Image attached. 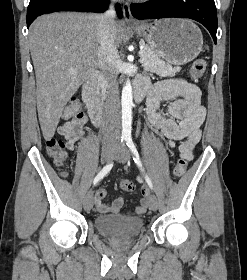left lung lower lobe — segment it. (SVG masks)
Returning a JSON list of instances; mask_svg holds the SVG:
<instances>
[{
    "label": "left lung lower lobe",
    "mask_w": 247,
    "mask_h": 280,
    "mask_svg": "<svg viewBox=\"0 0 247 280\" xmlns=\"http://www.w3.org/2000/svg\"><path fill=\"white\" fill-rule=\"evenodd\" d=\"M131 13L137 19L190 18L203 24L216 44L217 12L214 0H151L132 4Z\"/></svg>",
    "instance_id": "obj_1"
}]
</instances>
